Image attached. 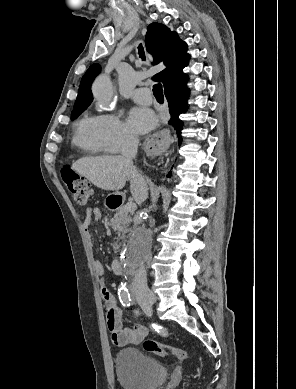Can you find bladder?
<instances>
[{
  "instance_id": "31cf9c89",
  "label": "bladder",
  "mask_w": 296,
  "mask_h": 389,
  "mask_svg": "<svg viewBox=\"0 0 296 389\" xmlns=\"http://www.w3.org/2000/svg\"><path fill=\"white\" fill-rule=\"evenodd\" d=\"M114 362L118 382L124 389H157L168 378L163 364L135 348L118 351Z\"/></svg>"
}]
</instances>
